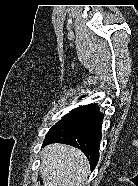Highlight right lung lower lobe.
Here are the masks:
<instances>
[{
  "label": "right lung lower lobe",
  "mask_w": 138,
  "mask_h": 186,
  "mask_svg": "<svg viewBox=\"0 0 138 186\" xmlns=\"http://www.w3.org/2000/svg\"><path fill=\"white\" fill-rule=\"evenodd\" d=\"M102 120L97 104L82 106L46 135L44 145L64 143L75 146L87 156L91 170H94L99 159Z\"/></svg>",
  "instance_id": "right-lung-lower-lobe-1"
}]
</instances>
